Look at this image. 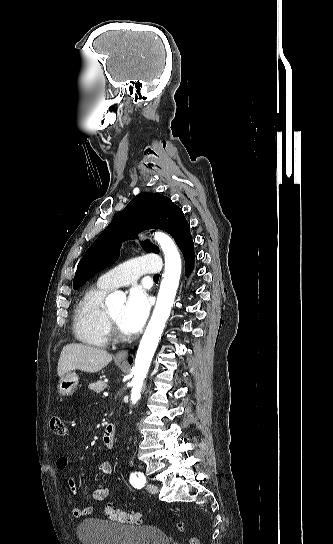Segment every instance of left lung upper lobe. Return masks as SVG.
<instances>
[{"instance_id":"obj_1","label":"left lung upper lobe","mask_w":333,"mask_h":544,"mask_svg":"<svg viewBox=\"0 0 333 544\" xmlns=\"http://www.w3.org/2000/svg\"><path fill=\"white\" fill-rule=\"evenodd\" d=\"M146 229H162L175 239L183 255L193 249L190 226L182 210L161 194L141 193L119 212L80 260L73 281L78 289L98 271L112 265L119 256L123 240ZM146 252L159 253L157 246L144 242Z\"/></svg>"}]
</instances>
